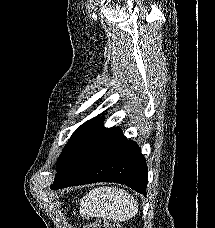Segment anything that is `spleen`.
I'll list each match as a JSON object with an SVG mask.
<instances>
[{
    "label": "spleen",
    "mask_w": 215,
    "mask_h": 228,
    "mask_svg": "<svg viewBox=\"0 0 215 228\" xmlns=\"http://www.w3.org/2000/svg\"><path fill=\"white\" fill-rule=\"evenodd\" d=\"M138 206L131 194L120 188H95L82 200V216L87 218H111L126 222L136 216Z\"/></svg>",
    "instance_id": "1"
}]
</instances>
